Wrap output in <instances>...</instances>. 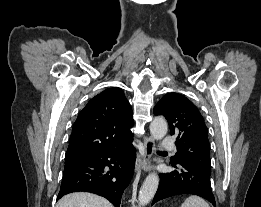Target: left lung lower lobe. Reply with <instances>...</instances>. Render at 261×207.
Wrapping results in <instances>:
<instances>
[{"label": "left lung lower lobe", "instance_id": "obj_1", "mask_svg": "<svg viewBox=\"0 0 261 207\" xmlns=\"http://www.w3.org/2000/svg\"><path fill=\"white\" fill-rule=\"evenodd\" d=\"M171 165L176 170L160 174V184L152 205L171 196L192 194L208 200L216 207L209 173L184 162H171Z\"/></svg>", "mask_w": 261, "mask_h": 207}]
</instances>
